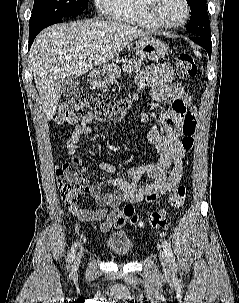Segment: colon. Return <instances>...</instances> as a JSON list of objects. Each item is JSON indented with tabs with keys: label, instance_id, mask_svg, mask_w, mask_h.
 Instances as JSON below:
<instances>
[{
	"label": "colon",
	"instance_id": "obj_1",
	"mask_svg": "<svg viewBox=\"0 0 239 303\" xmlns=\"http://www.w3.org/2000/svg\"><path fill=\"white\" fill-rule=\"evenodd\" d=\"M177 75L180 78L196 77L199 73L198 66L189 53H182L176 65ZM131 105L129 100H123L112 104L97 97H88L85 94H76L64 98L59 106L57 120L61 123H74L82 115L84 108H89L95 114L102 117H112L127 110ZM182 146L189 153L195 142L197 131L196 110L192 107L182 114ZM57 183L62 201L68 206L79 203L80 196L86 191L87 181L83 174L72 164L64 163L57 168ZM187 195L185 186H180L170 196L169 203L172 208H180L184 205ZM123 216L133 225L148 226L151 228H161L167 223V212L165 210H155L148 214L146 218H140L135 212L130 202L123 208Z\"/></svg>",
	"mask_w": 239,
	"mask_h": 303
}]
</instances>
